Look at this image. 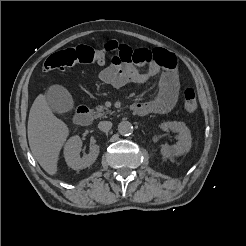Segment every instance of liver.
<instances>
[{
	"mask_svg": "<svg viewBox=\"0 0 246 246\" xmlns=\"http://www.w3.org/2000/svg\"><path fill=\"white\" fill-rule=\"evenodd\" d=\"M27 134L34 158L49 175H55L69 129L52 113L43 94H39L31 106Z\"/></svg>",
	"mask_w": 246,
	"mask_h": 246,
	"instance_id": "liver-1",
	"label": "liver"
}]
</instances>
